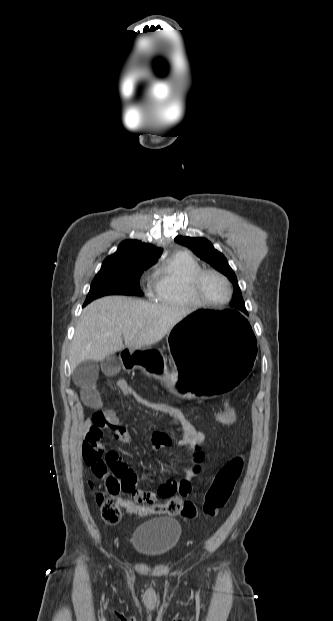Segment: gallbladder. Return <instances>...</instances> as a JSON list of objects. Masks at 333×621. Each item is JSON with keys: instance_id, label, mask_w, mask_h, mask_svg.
Returning a JSON list of instances; mask_svg holds the SVG:
<instances>
[{"instance_id": "obj_1", "label": "gallbladder", "mask_w": 333, "mask_h": 621, "mask_svg": "<svg viewBox=\"0 0 333 621\" xmlns=\"http://www.w3.org/2000/svg\"><path fill=\"white\" fill-rule=\"evenodd\" d=\"M98 378V365L95 361H84L76 366L72 372V379L76 385H89Z\"/></svg>"}]
</instances>
